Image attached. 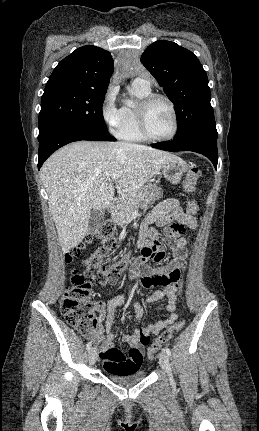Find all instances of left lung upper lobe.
Here are the masks:
<instances>
[{"mask_svg": "<svg viewBox=\"0 0 259 431\" xmlns=\"http://www.w3.org/2000/svg\"><path fill=\"white\" fill-rule=\"evenodd\" d=\"M141 62L175 105V137L194 131L217 133L208 78L193 52L161 40L146 48Z\"/></svg>", "mask_w": 259, "mask_h": 431, "instance_id": "1", "label": "left lung upper lobe"}]
</instances>
